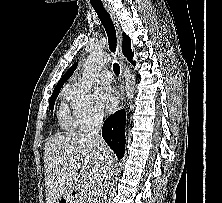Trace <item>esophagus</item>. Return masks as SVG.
<instances>
[{
	"label": "esophagus",
	"instance_id": "esophagus-1",
	"mask_svg": "<svg viewBox=\"0 0 222 203\" xmlns=\"http://www.w3.org/2000/svg\"><path fill=\"white\" fill-rule=\"evenodd\" d=\"M106 11L108 12V14L110 15L115 29H116V35H117V47H118V54L120 56V103H119V108H122L125 104V85H124V57L122 55V51H121V46H122V32H121V28L120 25L118 23V20L116 18L115 13L113 12V10L111 9V7L108 4L104 5Z\"/></svg>",
	"mask_w": 222,
	"mask_h": 203
}]
</instances>
